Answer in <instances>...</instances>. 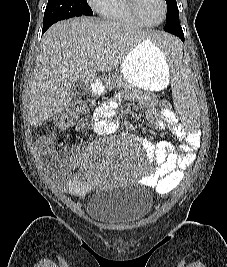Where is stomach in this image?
<instances>
[{
  "instance_id": "0dacf381",
  "label": "stomach",
  "mask_w": 227,
  "mask_h": 267,
  "mask_svg": "<svg viewBox=\"0 0 227 267\" xmlns=\"http://www.w3.org/2000/svg\"><path fill=\"white\" fill-rule=\"evenodd\" d=\"M120 73L130 85L150 91L164 89L170 77L167 57L151 39L143 40L128 53ZM105 89V85H95L93 93L98 94Z\"/></svg>"
}]
</instances>
